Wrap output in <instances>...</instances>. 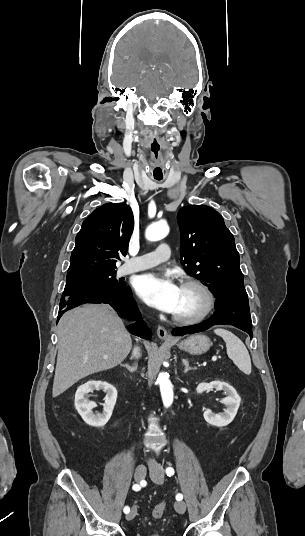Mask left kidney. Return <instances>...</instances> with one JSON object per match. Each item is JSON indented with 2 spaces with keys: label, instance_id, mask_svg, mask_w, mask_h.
Listing matches in <instances>:
<instances>
[{
  "label": "left kidney",
  "instance_id": "5707ae66",
  "mask_svg": "<svg viewBox=\"0 0 305 536\" xmlns=\"http://www.w3.org/2000/svg\"><path fill=\"white\" fill-rule=\"evenodd\" d=\"M211 388H216V390H224L227 398H223L221 402L222 404H225L227 408L224 410V412H221V414H213L211 410H206L203 416L206 422H208V424H212V426H218V428L228 426V424L234 420L237 414L241 398L238 396L236 390H234L232 386H229V384H226V382H210V384H205V382H203V384H199V386H197L196 392L197 394H202V392H205V390H211Z\"/></svg>",
  "mask_w": 305,
  "mask_h": 536
}]
</instances>
